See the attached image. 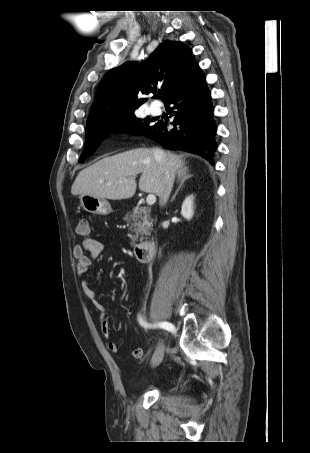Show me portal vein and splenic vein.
Here are the masks:
<instances>
[{"label":"portal vein and splenic vein","mask_w":310,"mask_h":453,"mask_svg":"<svg viewBox=\"0 0 310 453\" xmlns=\"http://www.w3.org/2000/svg\"><path fill=\"white\" fill-rule=\"evenodd\" d=\"M146 202L148 205H153L156 202V196L154 194H149L146 198Z\"/></svg>","instance_id":"portal-vein-and-splenic-vein-1"}]
</instances>
